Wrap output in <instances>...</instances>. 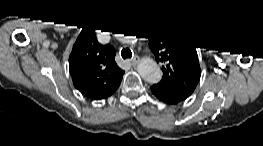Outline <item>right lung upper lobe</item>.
I'll return each instance as SVG.
<instances>
[{
    "instance_id": "1",
    "label": "right lung upper lobe",
    "mask_w": 263,
    "mask_h": 146,
    "mask_svg": "<svg viewBox=\"0 0 263 146\" xmlns=\"http://www.w3.org/2000/svg\"><path fill=\"white\" fill-rule=\"evenodd\" d=\"M115 55L111 45H101L97 41L94 26H85L69 57V71L75 88L91 100L111 96L124 74L115 62Z\"/></svg>"
}]
</instances>
